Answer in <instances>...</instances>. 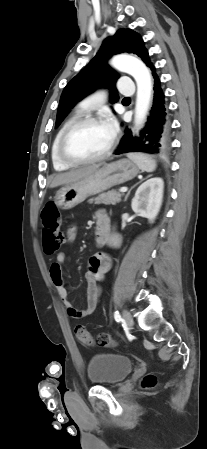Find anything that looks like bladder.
<instances>
[{
	"label": "bladder",
	"mask_w": 207,
	"mask_h": 449,
	"mask_svg": "<svg viewBox=\"0 0 207 449\" xmlns=\"http://www.w3.org/2000/svg\"><path fill=\"white\" fill-rule=\"evenodd\" d=\"M133 366V360L126 356L96 353L89 358L87 375L93 384L115 385L131 373Z\"/></svg>",
	"instance_id": "31cf9c89"
}]
</instances>
